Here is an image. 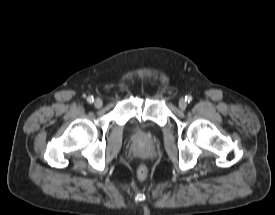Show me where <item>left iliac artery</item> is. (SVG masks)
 Wrapping results in <instances>:
<instances>
[{
  "mask_svg": "<svg viewBox=\"0 0 275 215\" xmlns=\"http://www.w3.org/2000/svg\"><path fill=\"white\" fill-rule=\"evenodd\" d=\"M185 101H187L188 103L192 101V96L187 95L185 96Z\"/></svg>",
  "mask_w": 275,
  "mask_h": 215,
  "instance_id": "left-iliac-artery-1",
  "label": "left iliac artery"
}]
</instances>
